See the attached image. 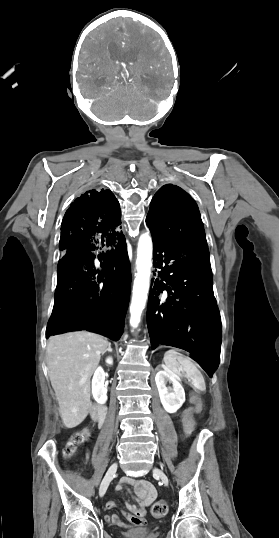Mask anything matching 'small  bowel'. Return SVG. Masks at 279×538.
<instances>
[{
    "label": "small bowel",
    "instance_id": "1",
    "mask_svg": "<svg viewBox=\"0 0 279 538\" xmlns=\"http://www.w3.org/2000/svg\"><path fill=\"white\" fill-rule=\"evenodd\" d=\"M128 486H135L136 493L138 495V506L127 502V510L124 511L123 514L132 526H142L145 524L144 516L146 514V508L156 499V489L149 481H136L129 477L122 478L116 485L115 489L117 491H121ZM105 507L109 510L117 507V504L114 501H108ZM105 520L112 525L127 527V525L116 514L106 515Z\"/></svg>",
    "mask_w": 279,
    "mask_h": 538
}]
</instances>
